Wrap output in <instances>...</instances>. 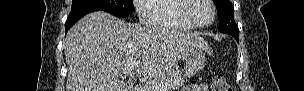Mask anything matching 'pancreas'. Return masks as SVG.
I'll return each mask as SVG.
<instances>
[{"mask_svg":"<svg viewBox=\"0 0 304 91\" xmlns=\"http://www.w3.org/2000/svg\"><path fill=\"white\" fill-rule=\"evenodd\" d=\"M185 81V77L182 76L181 71L179 70H171L163 75L155 78L149 85L146 87V91H157L155 88V84L157 82L166 83L168 89L174 90L182 86Z\"/></svg>","mask_w":304,"mask_h":91,"instance_id":"cf45deb5","label":"pancreas"}]
</instances>
